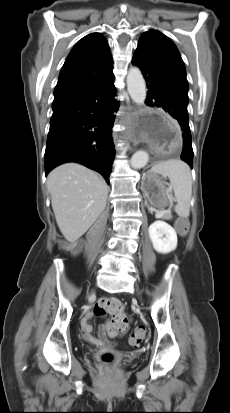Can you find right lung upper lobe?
Instances as JSON below:
<instances>
[{"instance_id":"cb5924a9","label":"right lung upper lobe","mask_w":230,"mask_h":413,"mask_svg":"<svg viewBox=\"0 0 230 413\" xmlns=\"http://www.w3.org/2000/svg\"><path fill=\"white\" fill-rule=\"evenodd\" d=\"M113 74V61L105 37L91 33L68 55L59 75L54 96L75 92Z\"/></svg>"}]
</instances>
